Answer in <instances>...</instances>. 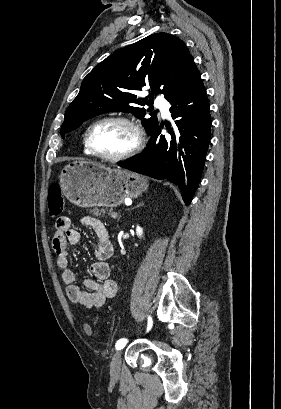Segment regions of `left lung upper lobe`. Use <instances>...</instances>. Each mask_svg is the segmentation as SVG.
Masks as SVG:
<instances>
[{"instance_id":"obj_1","label":"left lung upper lobe","mask_w":281,"mask_h":409,"mask_svg":"<svg viewBox=\"0 0 281 409\" xmlns=\"http://www.w3.org/2000/svg\"><path fill=\"white\" fill-rule=\"evenodd\" d=\"M196 70L185 43L176 36L156 33L145 37L106 58L84 78L79 94L65 112L60 134L64 136L83 121L109 111L132 112L143 119L146 110L138 105H150L154 92L164 94L170 102L185 89ZM144 86L151 88V95L146 97L150 100L137 94ZM157 112L142 120L149 135L158 126Z\"/></svg>"}]
</instances>
